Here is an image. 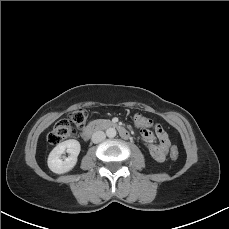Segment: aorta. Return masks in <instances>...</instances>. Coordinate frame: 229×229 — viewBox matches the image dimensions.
I'll list each match as a JSON object with an SVG mask.
<instances>
[{
    "label": "aorta",
    "instance_id": "762f6f07",
    "mask_svg": "<svg viewBox=\"0 0 229 229\" xmlns=\"http://www.w3.org/2000/svg\"><path fill=\"white\" fill-rule=\"evenodd\" d=\"M117 132H116V129L115 128H108L106 130V135L109 137V138H114L116 136Z\"/></svg>",
    "mask_w": 229,
    "mask_h": 229
}]
</instances>
